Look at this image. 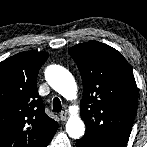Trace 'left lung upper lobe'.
Here are the masks:
<instances>
[{
	"mask_svg": "<svg viewBox=\"0 0 147 147\" xmlns=\"http://www.w3.org/2000/svg\"><path fill=\"white\" fill-rule=\"evenodd\" d=\"M68 53L83 81L81 140L91 147H125L137 111V86L121 53L97 41L77 44Z\"/></svg>",
	"mask_w": 147,
	"mask_h": 147,
	"instance_id": "1",
	"label": "left lung upper lobe"
}]
</instances>
